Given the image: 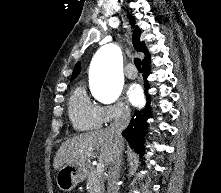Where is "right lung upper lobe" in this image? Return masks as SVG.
<instances>
[{
  "label": "right lung upper lobe",
  "instance_id": "cb5924a9",
  "mask_svg": "<svg viewBox=\"0 0 221 193\" xmlns=\"http://www.w3.org/2000/svg\"><path fill=\"white\" fill-rule=\"evenodd\" d=\"M139 39H140V29L136 26L132 37L133 46L137 51H141L145 54V58L143 59L142 64L148 63L150 62L149 52L147 51L145 44L143 42H140ZM80 71H81V66L80 63L78 62L74 67L71 79H74L80 73Z\"/></svg>",
  "mask_w": 221,
  "mask_h": 193
}]
</instances>
